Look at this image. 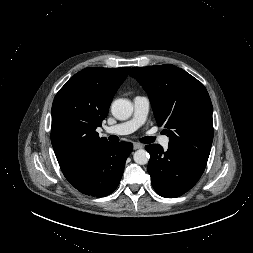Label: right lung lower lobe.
Returning <instances> with one entry per match:
<instances>
[{
    "label": "right lung lower lobe",
    "instance_id": "obj_1",
    "mask_svg": "<svg viewBox=\"0 0 253 253\" xmlns=\"http://www.w3.org/2000/svg\"><path fill=\"white\" fill-rule=\"evenodd\" d=\"M132 149L133 144L130 142H106L93 152L73 177L67 180L85 195L107 196L117 188Z\"/></svg>",
    "mask_w": 253,
    "mask_h": 253
}]
</instances>
